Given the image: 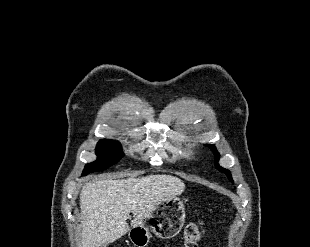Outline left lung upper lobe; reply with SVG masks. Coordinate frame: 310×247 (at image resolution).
Masks as SVG:
<instances>
[{"label":"left lung upper lobe","mask_w":310,"mask_h":247,"mask_svg":"<svg viewBox=\"0 0 310 247\" xmlns=\"http://www.w3.org/2000/svg\"><path fill=\"white\" fill-rule=\"evenodd\" d=\"M207 146L210 147V149L213 151V153H214V155H215V160H216V164H215V165H216V168H217L219 171H221L222 173H225L230 181H233L230 172H229L227 169H224V168L220 167V166L217 164V161H218V159H219V153L217 152L215 146H214V145H208V144H207Z\"/></svg>","instance_id":"obj_1"}]
</instances>
